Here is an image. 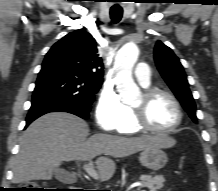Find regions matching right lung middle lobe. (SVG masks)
Instances as JSON below:
<instances>
[{
    "mask_svg": "<svg viewBox=\"0 0 218 191\" xmlns=\"http://www.w3.org/2000/svg\"><path fill=\"white\" fill-rule=\"evenodd\" d=\"M101 83L94 82L63 65L43 62L33 91L32 101L40 97H57L89 108Z\"/></svg>",
    "mask_w": 218,
    "mask_h": 191,
    "instance_id": "obj_1",
    "label": "right lung middle lobe"
}]
</instances>
